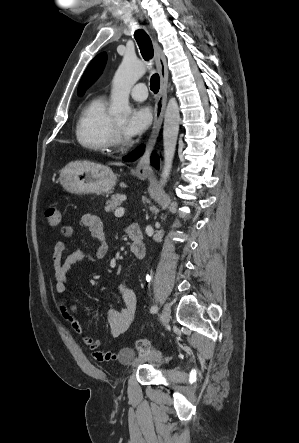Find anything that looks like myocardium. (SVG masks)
<instances>
[{"instance_id": "obj_1", "label": "myocardium", "mask_w": 299, "mask_h": 443, "mask_svg": "<svg viewBox=\"0 0 299 443\" xmlns=\"http://www.w3.org/2000/svg\"><path fill=\"white\" fill-rule=\"evenodd\" d=\"M129 146L130 141L123 136L121 128L115 123V121H113V129L110 137V148L123 151Z\"/></svg>"}]
</instances>
